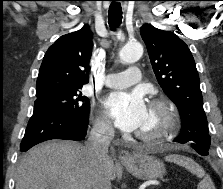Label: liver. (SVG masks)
<instances>
[{
    "instance_id": "obj_1",
    "label": "liver",
    "mask_w": 223,
    "mask_h": 189,
    "mask_svg": "<svg viewBox=\"0 0 223 189\" xmlns=\"http://www.w3.org/2000/svg\"><path fill=\"white\" fill-rule=\"evenodd\" d=\"M92 171L85 146L73 141H47L23 155L16 171L15 189H92ZM106 171L113 180L111 158Z\"/></svg>"
}]
</instances>
